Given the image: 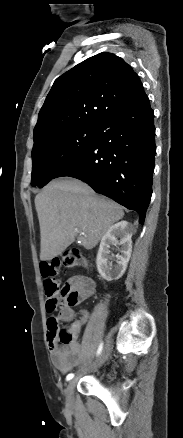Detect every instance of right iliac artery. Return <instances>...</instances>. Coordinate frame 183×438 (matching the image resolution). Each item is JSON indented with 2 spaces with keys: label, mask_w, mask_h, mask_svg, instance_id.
<instances>
[{
  "label": "right iliac artery",
  "mask_w": 183,
  "mask_h": 438,
  "mask_svg": "<svg viewBox=\"0 0 183 438\" xmlns=\"http://www.w3.org/2000/svg\"><path fill=\"white\" fill-rule=\"evenodd\" d=\"M101 351H102V344L99 346V349H98V351H97V354L99 355V354L101 353ZM73 377H74V374L70 373V374L67 375L66 380L69 381V380H71Z\"/></svg>",
  "instance_id": "82829eb1"
}]
</instances>
